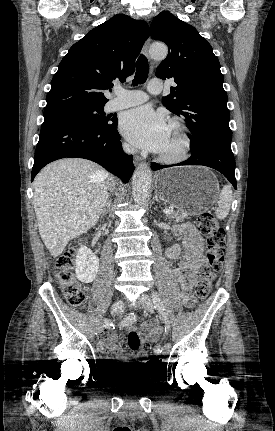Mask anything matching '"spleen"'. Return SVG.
I'll use <instances>...</instances> for the list:
<instances>
[{
	"label": "spleen",
	"instance_id": "spleen-1",
	"mask_svg": "<svg viewBox=\"0 0 275 431\" xmlns=\"http://www.w3.org/2000/svg\"><path fill=\"white\" fill-rule=\"evenodd\" d=\"M232 202V190L229 185L223 187L217 201L216 216L218 219H224L229 214Z\"/></svg>",
	"mask_w": 275,
	"mask_h": 431
}]
</instances>
